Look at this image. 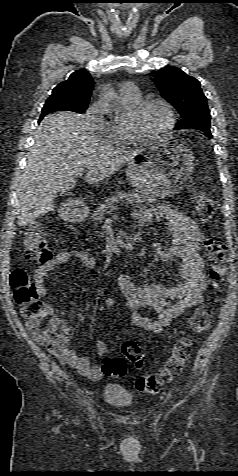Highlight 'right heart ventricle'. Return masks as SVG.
I'll use <instances>...</instances> for the list:
<instances>
[{
  "label": "right heart ventricle",
  "instance_id": "right-heart-ventricle-1",
  "mask_svg": "<svg viewBox=\"0 0 238 476\" xmlns=\"http://www.w3.org/2000/svg\"><path fill=\"white\" fill-rule=\"evenodd\" d=\"M121 98L124 105L129 108H132L134 105H136L140 101V98L130 99V98L122 97V96ZM112 128L116 132V137L114 139L118 143L129 140L131 138V135L127 129L126 122L124 121V119L115 120V122L112 124Z\"/></svg>",
  "mask_w": 238,
  "mask_h": 476
}]
</instances>
